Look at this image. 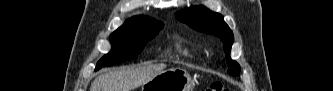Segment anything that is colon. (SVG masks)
<instances>
[{
	"mask_svg": "<svg viewBox=\"0 0 333 91\" xmlns=\"http://www.w3.org/2000/svg\"><path fill=\"white\" fill-rule=\"evenodd\" d=\"M224 86L221 82H213L211 83L205 91H224Z\"/></svg>",
	"mask_w": 333,
	"mask_h": 91,
	"instance_id": "5ec220e1",
	"label": "colon"
}]
</instances>
